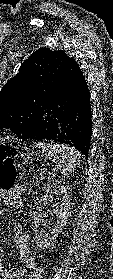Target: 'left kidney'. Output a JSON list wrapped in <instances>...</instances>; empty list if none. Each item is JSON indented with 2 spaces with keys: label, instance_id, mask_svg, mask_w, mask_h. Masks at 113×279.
I'll list each match as a JSON object with an SVG mask.
<instances>
[{
  "label": "left kidney",
  "instance_id": "1",
  "mask_svg": "<svg viewBox=\"0 0 113 279\" xmlns=\"http://www.w3.org/2000/svg\"><path fill=\"white\" fill-rule=\"evenodd\" d=\"M71 192L72 189L70 186L55 184L54 186H49L46 192L42 195L41 200L39 201L40 205H47L48 203H51L54 196L58 197L61 204L60 208L54 211L57 221L47 234H43L41 231L42 211L38 210L33 212L32 227L35 235V243L39 248L43 250L47 249L53 242H55L59 233L66 225L71 206Z\"/></svg>",
  "mask_w": 113,
  "mask_h": 279
}]
</instances>
